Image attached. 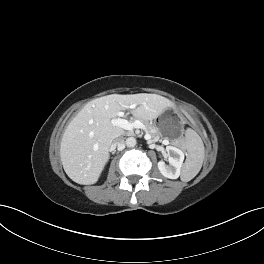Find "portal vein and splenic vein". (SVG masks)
I'll return each mask as SVG.
<instances>
[{
	"mask_svg": "<svg viewBox=\"0 0 264 264\" xmlns=\"http://www.w3.org/2000/svg\"><path fill=\"white\" fill-rule=\"evenodd\" d=\"M130 108H135V105L130 106ZM123 112H118L117 115L119 117L123 116ZM116 118L112 120V123L120 128H123L125 130H133L135 129H143L146 131V127L145 125L140 121V120H136L133 123L123 119V118Z\"/></svg>",
	"mask_w": 264,
	"mask_h": 264,
	"instance_id": "portal-vein-and-splenic-vein-1",
	"label": "portal vein and splenic vein"
}]
</instances>
